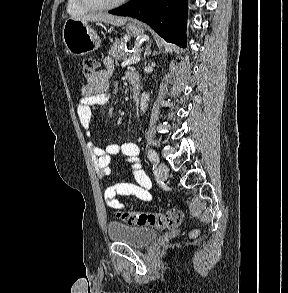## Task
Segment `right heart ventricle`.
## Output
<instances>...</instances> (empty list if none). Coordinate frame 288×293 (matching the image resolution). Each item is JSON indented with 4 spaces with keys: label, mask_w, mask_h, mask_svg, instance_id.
I'll use <instances>...</instances> for the list:
<instances>
[{
    "label": "right heart ventricle",
    "mask_w": 288,
    "mask_h": 293,
    "mask_svg": "<svg viewBox=\"0 0 288 293\" xmlns=\"http://www.w3.org/2000/svg\"><path fill=\"white\" fill-rule=\"evenodd\" d=\"M66 9L70 15L74 16L84 15L90 11L82 6L78 0H67Z\"/></svg>",
    "instance_id": "e07e8e85"
}]
</instances>
